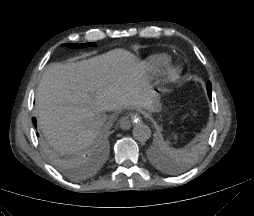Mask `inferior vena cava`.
Here are the masks:
<instances>
[{
	"label": "inferior vena cava",
	"instance_id": "inferior-vena-cava-1",
	"mask_svg": "<svg viewBox=\"0 0 254 216\" xmlns=\"http://www.w3.org/2000/svg\"><path fill=\"white\" fill-rule=\"evenodd\" d=\"M107 117L106 115L98 114L92 119V124L95 129H102L106 126Z\"/></svg>",
	"mask_w": 254,
	"mask_h": 216
}]
</instances>
